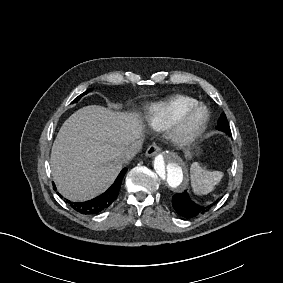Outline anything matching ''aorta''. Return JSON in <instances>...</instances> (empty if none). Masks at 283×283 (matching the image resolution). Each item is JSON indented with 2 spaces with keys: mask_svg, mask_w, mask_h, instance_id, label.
Returning <instances> with one entry per match:
<instances>
[{
  "mask_svg": "<svg viewBox=\"0 0 283 283\" xmlns=\"http://www.w3.org/2000/svg\"><path fill=\"white\" fill-rule=\"evenodd\" d=\"M154 173L163 189L181 191L187 181V170L183 160L175 153L165 151L153 162Z\"/></svg>",
  "mask_w": 283,
  "mask_h": 283,
  "instance_id": "762f6f07",
  "label": "aorta"
}]
</instances>
